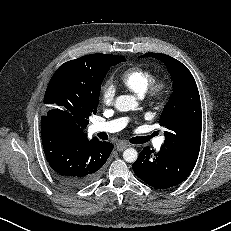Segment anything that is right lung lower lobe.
<instances>
[{"instance_id":"right-lung-lower-lobe-1","label":"right lung lower lobe","mask_w":231,"mask_h":231,"mask_svg":"<svg viewBox=\"0 0 231 231\" xmlns=\"http://www.w3.org/2000/svg\"><path fill=\"white\" fill-rule=\"evenodd\" d=\"M41 136L46 160L56 178L71 188L95 181L114 147L97 138L70 136L46 115L41 118Z\"/></svg>"}]
</instances>
